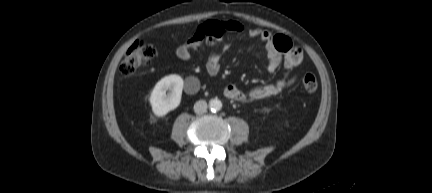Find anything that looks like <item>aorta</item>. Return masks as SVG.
<instances>
[{
  "label": "aorta",
  "instance_id": "obj_1",
  "mask_svg": "<svg viewBox=\"0 0 432 193\" xmlns=\"http://www.w3.org/2000/svg\"><path fill=\"white\" fill-rule=\"evenodd\" d=\"M209 108L212 112L220 111L222 108V102L219 99H212L209 102Z\"/></svg>",
  "mask_w": 432,
  "mask_h": 193
}]
</instances>
